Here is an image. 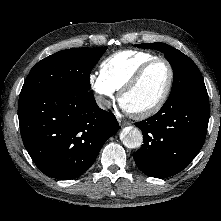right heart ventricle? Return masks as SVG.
Wrapping results in <instances>:
<instances>
[{"mask_svg":"<svg viewBox=\"0 0 221 221\" xmlns=\"http://www.w3.org/2000/svg\"><path fill=\"white\" fill-rule=\"evenodd\" d=\"M155 57L157 56L145 51H119L102 61L100 73L114 90H120L143 63Z\"/></svg>","mask_w":221,"mask_h":221,"instance_id":"right-heart-ventricle-1","label":"right heart ventricle"}]
</instances>
